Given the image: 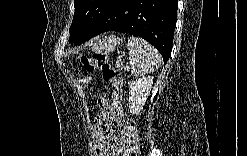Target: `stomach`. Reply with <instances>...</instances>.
<instances>
[{
    "label": "stomach",
    "instance_id": "stomach-1",
    "mask_svg": "<svg viewBox=\"0 0 247 156\" xmlns=\"http://www.w3.org/2000/svg\"><path fill=\"white\" fill-rule=\"evenodd\" d=\"M119 44H120V38L112 34L105 36L99 39L98 41H96L93 44L92 49L97 53L106 54L109 52H113Z\"/></svg>",
    "mask_w": 247,
    "mask_h": 156
}]
</instances>
